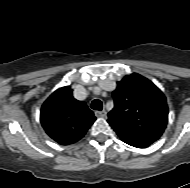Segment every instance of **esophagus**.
<instances>
[{
  "label": "esophagus",
  "instance_id": "obj_1",
  "mask_svg": "<svg viewBox=\"0 0 190 188\" xmlns=\"http://www.w3.org/2000/svg\"><path fill=\"white\" fill-rule=\"evenodd\" d=\"M95 116L96 117H101V118H105L107 116V113L105 110L102 111H95Z\"/></svg>",
  "mask_w": 190,
  "mask_h": 188
}]
</instances>
